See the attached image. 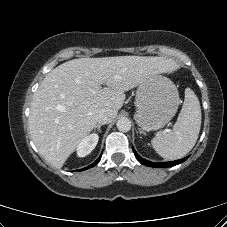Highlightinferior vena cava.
I'll use <instances>...</instances> for the list:
<instances>
[{"instance_id":"inferior-vena-cava-1","label":"inferior vena cava","mask_w":227,"mask_h":227,"mask_svg":"<svg viewBox=\"0 0 227 227\" xmlns=\"http://www.w3.org/2000/svg\"><path fill=\"white\" fill-rule=\"evenodd\" d=\"M116 115H117L116 111L110 108L101 109L98 116L99 123L103 124L111 123L113 119L116 117Z\"/></svg>"}]
</instances>
